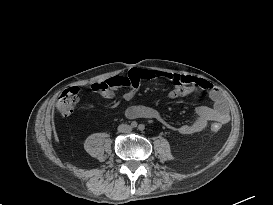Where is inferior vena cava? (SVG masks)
Instances as JSON below:
<instances>
[{
  "mask_svg": "<svg viewBox=\"0 0 273 205\" xmlns=\"http://www.w3.org/2000/svg\"><path fill=\"white\" fill-rule=\"evenodd\" d=\"M118 131L119 132H124V133H128L131 131V127L127 124H121L118 126Z\"/></svg>",
  "mask_w": 273,
  "mask_h": 205,
  "instance_id": "1",
  "label": "inferior vena cava"
}]
</instances>
